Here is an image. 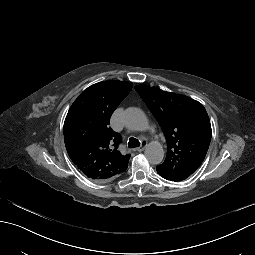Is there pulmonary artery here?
<instances>
[{"label":"pulmonary artery","instance_id":"1","mask_svg":"<svg viewBox=\"0 0 255 255\" xmlns=\"http://www.w3.org/2000/svg\"><path fill=\"white\" fill-rule=\"evenodd\" d=\"M150 128H153V122H150ZM152 134H156V131L152 130ZM155 141L159 142L158 136H155Z\"/></svg>","mask_w":255,"mask_h":255}]
</instances>
